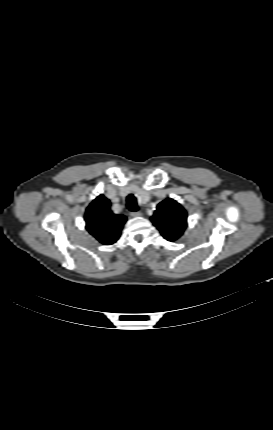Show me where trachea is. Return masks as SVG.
I'll return each mask as SVG.
<instances>
[{
	"instance_id": "trachea-1",
	"label": "trachea",
	"mask_w": 273,
	"mask_h": 430,
	"mask_svg": "<svg viewBox=\"0 0 273 430\" xmlns=\"http://www.w3.org/2000/svg\"><path fill=\"white\" fill-rule=\"evenodd\" d=\"M127 207L132 212H136L138 210L136 198L133 194L127 196Z\"/></svg>"
}]
</instances>
